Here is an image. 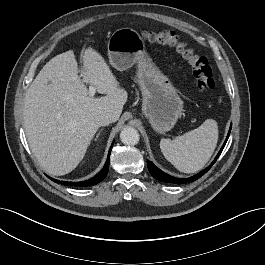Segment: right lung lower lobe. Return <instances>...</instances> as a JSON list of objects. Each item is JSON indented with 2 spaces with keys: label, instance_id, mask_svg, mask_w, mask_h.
Listing matches in <instances>:
<instances>
[{
  "label": "right lung lower lobe",
  "instance_id": "right-lung-lower-lobe-1",
  "mask_svg": "<svg viewBox=\"0 0 265 265\" xmlns=\"http://www.w3.org/2000/svg\"><path fill=\"white\" fill-rule=\"evenodd\" d=\"M112 146H113V144L111 145L110 151L108 153L107 161H106L103 169L97 175H95L93 178L88 179L86 181H82V182H66V181H59V180H56L53 178H50V179L56 183H61L63 185L75 186V187H88V186H93V185L98 184L99 182H101L106 177V175L108 173L110 152H111Z\"/></svg>",
  "mask_w": 265,
  "mask_h": 265
}]
</instances>
